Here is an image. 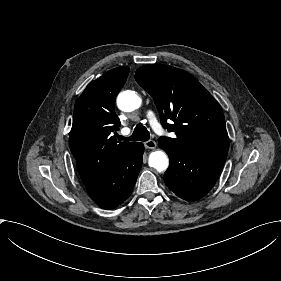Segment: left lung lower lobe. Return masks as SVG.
<instances>
[{"label":"left lung lower lobe","instance_id":"left-lung-lower-lobe-1","mask_svg":"<svg viewBox=\"0 0 281 281\" xmlns=\"http://www.w3.org/2000/svg\"><path fill=\"white\" fill-rule=\"evenodd\" d=\"M169 156L170 165L164 174L168 188L180 198L195 201L214 186L226 157L190 155L168 144L159 143Z\"/></svg>","mask_w":281,"mask_h":281}]
</instances>
